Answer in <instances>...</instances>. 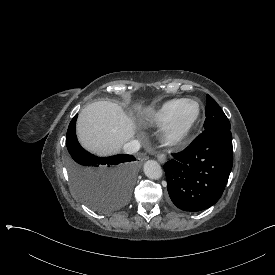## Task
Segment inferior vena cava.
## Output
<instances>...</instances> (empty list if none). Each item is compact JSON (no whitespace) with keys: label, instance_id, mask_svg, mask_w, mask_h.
Returning <instances> with one entry per match:
<instances>
[{"label":"inferior vena cava","instance_id":"inferior-vena-cava-1","mask_svg":"<svg viewBox=\"0 0 275 275\" xmlns=\"http://www.w3.org/2000/svg\"><path fill=\"white\" fill-rule=\"evenodd\" d=\"M140 149V143L138 140H132L123 146V150L126 154L136 153Z\"/></svg>","mask_w":275,"mask_h":275}]
</instances>
